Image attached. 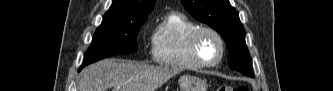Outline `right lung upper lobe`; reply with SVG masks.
Returning <instances> with one entry per match:
<instances>
[{"label":"right lung upper lobe","instance_id":"cb5924a9","mask_svg":"<svg viewBox=\"0 0 333 91\" xmlns=\"http://www.w3.org/2000/svg\"><path fill=\"white\" fill-rule=\"evenodd\" d=\"M155 0H113L103 19L133 20L147 18Z\"/></svg>","mask_w":333,"mask_h":91}]
</instances>
